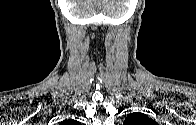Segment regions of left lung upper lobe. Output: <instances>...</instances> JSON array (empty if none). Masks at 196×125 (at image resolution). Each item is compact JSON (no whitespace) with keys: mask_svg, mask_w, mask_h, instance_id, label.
Segmentation results:
<instances>
[{"mask_svg":"<svg viewBox=\"0 0 196 125\" xmlns=\"http://www.w3.org/2000/svg\"><path fill=\"white\" fill-rule=\"evenodd\" d=\"M124 125H156V122L141 113L127 115Z\"/></svg>","mask_w":196,"mask_h":125,"instance_id":"left-lung-upper-lobe-1","label":"left lung upper lobe"}]
</instances>
